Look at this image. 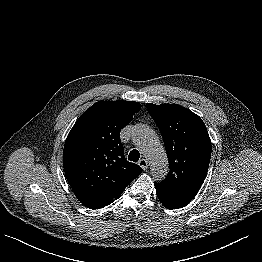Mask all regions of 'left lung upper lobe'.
<instances>
[{"label":"left lung upper lobe","instance_id":"1","mask_svg":"<svg viewBox=\"0 0 262 262\" xmlns=\"http://www.w3.org/2000/svg\"><path fill=\"white\" fill-rule=\"evenodd\" d=\"M165 140L170 170L156 190L190 202L203 184L211 158V140L202 119L177 104L147 103Z\"/></svg>","mask_w":262,"mask_h":262}]
</instances>
